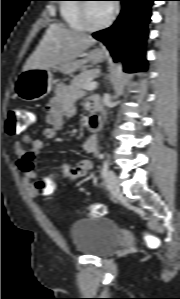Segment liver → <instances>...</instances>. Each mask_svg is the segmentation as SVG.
Here are the masks:
<instances>
[{"label": "liver", "instance_id": "obj_1", "mask_svg": "<svg viewBox=\"0 0 180 299\" xmlns=\"http://www.w3.org/2000/svg\"><path fill=\"white\" fill-rule=\"evenodd\" d=\"M96 40L90 35L53 23L46 30L23 71L30 68L50 69L79 57Z\"/></svg>", "mask_w": 180, "mask_h": 299}]
</instances>
